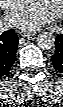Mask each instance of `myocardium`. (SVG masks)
Segmentation results:
<instances>
[{"label":"myocardium","mask_w":63,"mask_h":107,"mask_svg":"<svg viewBox=\"0 0 63 107\" xmlns=\"http://www.w3.org/2000/svg\"><path fill=\"white\" fill-rule=\"evenodd\" d=\"M61 5H62V2L60 1V2H59V6H58V7H59V10H60V8H61ZM54 13L56 14L57 11H55Z\"/></svg>","instance_id":"1"}]
</instances>
